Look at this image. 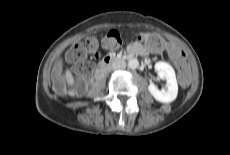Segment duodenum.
Returning a JSON list of instances; mask_svg holds the SVG:
<instances>
[{
    "mask_svg": "<svg viewBox=\"0 0 230 155\" xmlns=\"http://www.w3.org/2000/svg\"><path fill=\"white\" fill-rule=\"evenodd\" d=\"M135 52L129 51L126 55L124 56H111L108 55L103 58V60L100 62L98 70H97V77L101 76L104 71L113 63L123 61V60H128L129 58L133 57Z\"/></svg>",
    "mask_w": 230,
    "mask_h": 155,
    "instance_id": "obj_1",
    "label": "duodenum"
}]
</instances>
